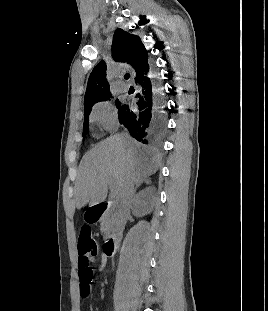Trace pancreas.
Masks as SVG:
<instances>
[{
    "mask_svg": "<svg viewBox=\"0 0 268 311\" xmlns=\"http://www.w3.org/2000/svg\"><path fill=\"white\" fill-rule=\"evenodd\" d=\"M101 231L104 233V237L107 238L112 230L114 225V218L113 215L110 213H106L100 219Z\"/></svg>",
    "mask_w": 268,
    "mask_h": 311,
    "instance_id": "cf45deb5",
    "label": "pancreas"
}]
</instances>
